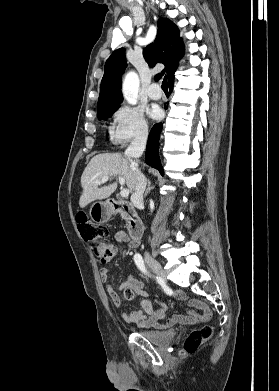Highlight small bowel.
<instances>
[{
    "mask_svg": "<svg viewBox=\"0 0 279 391\" xmlns=\"http://www.w3.org/2000/svg\"><path fill=\"white\" fill-rule=\"evenodd\" d=\"M116 241L120 243H128V248L133 249L137 247V245H133L130 239V236L124 232L119 231L115 235ZM127 252H124L126 255ZM100 277L103 282H106L109 278V271L106 268H102L100 270ZM121 288L131 290L138 295H140L141 299L139 301L141 309L138 311H133L130 313L122 312V319L129 324H133L138 328L144 329H166L174 326L175 324H198V323H206L211 319V311L206 303L197 300V299H189L188 296L180 291L173 292L172 295L180 301H185L190 307H193L198 310V312L190 310L186 314L183 315H174L170 317L166 323L160 324L158 321L162 319L165 315L166 306L164 303L160 301H156L158 307L156 309L153 308L151 301L148 299V294L144 289V283L130 277L127 282L122 284ZM106 291L111 298L113 304L116 308L121 309L122 303L120 296L115 289V287L111 284L106 286Z\"/></svg>",
    "mask_w": 279,
    "mask_h": 391,
    "instance_id": "obj_1",
    "label": "small bowel"
}]
</instances>
